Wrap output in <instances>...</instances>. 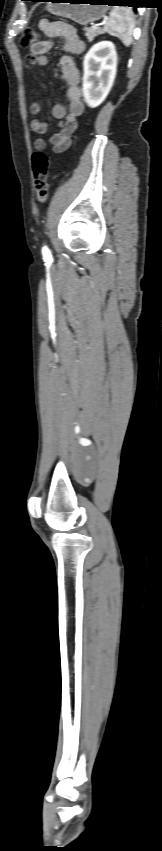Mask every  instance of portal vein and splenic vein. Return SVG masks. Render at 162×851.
I'll return each mask as SVG.
<instances>
[{
  "instance_id": "obj_1",
  "label": "portal vein and splenic vein",
  "mask_w": 162,
  "mask_h": 851,
  "mask_svg": "<svg viewBox=\"0 0 162 851\" xmlns=\"http://www.w3.org/2000/svg\"><path fill=\"white\" fill-rule=\"evenodd\" d=\"M92 28H96V26H95V25H93V26H92Z\"/></svg>"
}]
</instances>
